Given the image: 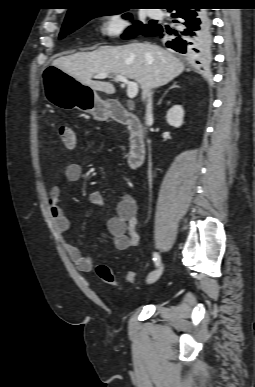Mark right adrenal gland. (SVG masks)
<instances>
[{"instance_id":"1","label":"right adrenal gland","mask_w":255,"mask_h":387,"mask_svg":"<svg viewBox=\"0 0 255 387\" xmlns=\"http://www.w3.org/2000/svg\"><path fill=\"white\" fill-rule=\"evenodd\" d=\"M178 87L179 86L174 82L173 85L167 91H165L163 96L160 98V100L158 101V105H160L162 103L164 96L168 93L169 90L174 89V88H178Z\"/></svg>"}]
</instances>
